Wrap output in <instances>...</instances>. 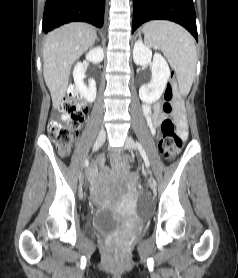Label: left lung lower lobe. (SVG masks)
<instances>
[{
  "mask_svg": "<svg viewBox=\"0 0 238 278\" xmlns=\"http://www.w3.org/2000/svg\"><path fill=\"white\" fill-rule=\"evenodd\" d=\"M157 19L184 26L198 41L192 0H133L132 33L144 22Z\"/></svg>",
  "mask_w": 238,
  "mask_h": 278,
  "instance_id": "1",
  "label": "left lung lower lobe"
}]
</instances>
